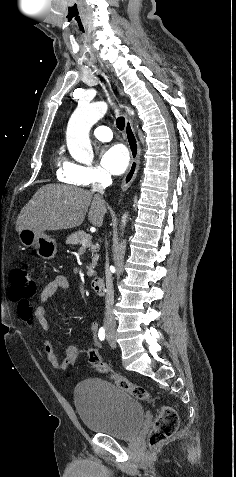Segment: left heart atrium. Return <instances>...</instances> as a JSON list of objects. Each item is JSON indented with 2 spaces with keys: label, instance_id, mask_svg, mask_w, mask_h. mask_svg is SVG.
Here are the masks:
<instances>
[{
  "label": "left heart atrium",
  "instance_id": "obj_1",
  "mask_svg": "<svg viewBox=\"0 0 236 477\" xmlns=\"http://www.w3.org/2000/svg\"><path fill=\"white\" fill-rule=\"evenodd\" d=\"M129 153L123 145H112L107 147L101 155L102 165L112 174L123 173L129 164Z\"/></svg>",
  "mask_w": 236,
  "mask_h": 477
}]
</instances>
